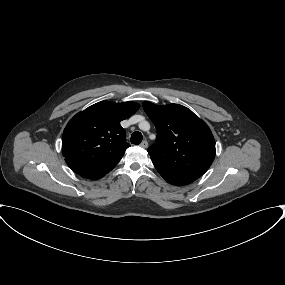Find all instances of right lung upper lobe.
<instances>
[{
	"label": "right lung upper lobe",
	"mask_w": 285,
	"mask_h": 285,
	"mask_svg": "<svg viewBox=\"0 0 285 285\" xmlns=\"http://www.w3.org/2000/svg\"><path fill=\"white\" fill-rule=\"evenodd\" d=\"M135 102H98L76 114L62 136L67 165L81 177L97 180L111 171L130 146L120 122L138 109Z\"/></svg>",
	"instance_id": "1"
}]
</instances>
